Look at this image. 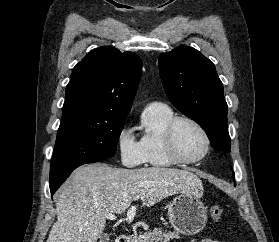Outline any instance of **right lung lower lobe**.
<instances>
[{"label": "right lung lower lobe", "mask_w": 279, "mask_h": 242, "mask_svg": "<svg viewBox=\"0 0 279 242\" xmlns=\"http://www.w3.org/2000/svg\"><path fill=\"white\" fill-rule=\"evenodd\" d=\"M99 160H88V161H84L76 166H74L73 168H71L68 172L62 174L60 177H58L57 179L50 181L49 185H50V191H51V195H53L56 190L61 186V184L69 177V175L71 174V172L76 169L77 167H79L80 165L83 164H87V163H95Z\"/></svg>", "instance_id": "obj_1"}]
</instances>
